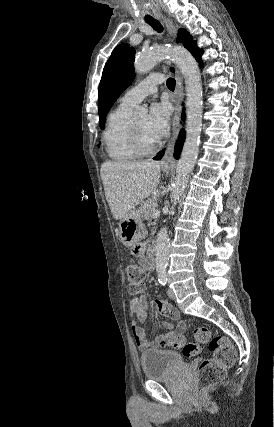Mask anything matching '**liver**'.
<instances>
[{
    "mask_svg": "<svg viewBox=\"0 0 274 427\" xmlns=\"http://www.w3.org/2000/svg\"><path fill=\"white\" fill-rule=\"evenodd\" d=\"M100 174L111 214L122 219L155 192L160 162H104Z\"/></svg>",
    "mask_w": 274,
    "mask_h": 427,
    "instance_id": "1",
    "label": "liver"
}]
</instances>
